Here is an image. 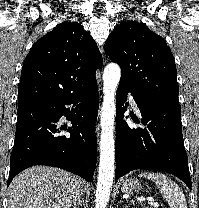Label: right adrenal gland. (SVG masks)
Masks as SVG:
<instances>
[{"instance_id": "right-adrenal-gland-1", "label": "right adrenal gland", "mask_w": 199, "mask_h": 208, "mask_svg": "<svg viewBox=\"0 0 199 208\" xmlns=\"http://www.w3.org/2000/svg\"><path fill=\"white\" fill-rule=\"evenodd\" d=\"M73 208H79V204H77V205H74V207Z\"/></svg>"}]
</instances>
